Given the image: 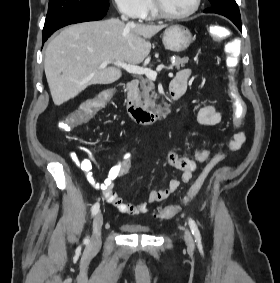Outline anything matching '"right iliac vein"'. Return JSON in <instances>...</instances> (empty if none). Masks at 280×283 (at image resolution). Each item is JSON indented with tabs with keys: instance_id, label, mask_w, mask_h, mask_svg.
Wrapping results in <instances>:
<instances>
[{
	"instance_id": "1",
	"label": "right iliac vein",
	"mask_w": 280,
	"mask_h": 283,
	"mask_svg": "<svg viewBox=\"0 0 280 283\" xmlns=\"http://www.w3.org/2000/svg\"><path fill=\"white\" fill-rule=\"evenodd\" d=\"M103 225V215L99 212L93 221V234L91 237V247L98 248L101 245V228Z\"/></svg>"
}]
</instances>
